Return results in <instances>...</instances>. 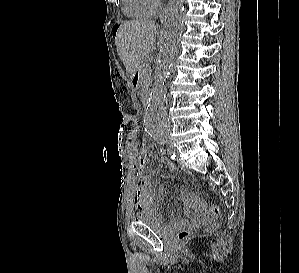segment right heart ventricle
<instances>
[{"label": "right heart ventricle", "mask_w": 299, "mask_h": 273, "mask_svg": "<svg viewBox=\"0 0 299 273\" xmlns=\"http://www.w3.org/2000/svg\"><path fill=\"white\" fill-rule=\"evenodd\" d=\"M122 9L125 15L133 19H147L155 14L148 0H123Z\"/></svg>", "instance_id": "right-heart-ventricle-1"}]
</instances>
